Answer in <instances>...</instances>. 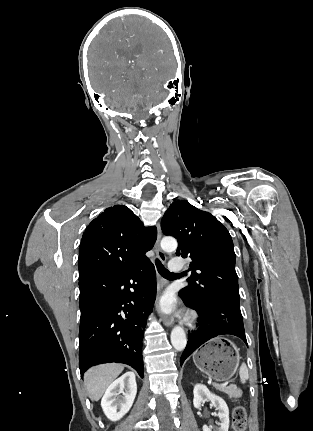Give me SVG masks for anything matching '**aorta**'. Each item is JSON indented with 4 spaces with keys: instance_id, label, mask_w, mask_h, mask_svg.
<instances>
[{
    "instance_id": "aorta-1",
    "label": "aorta",
    "mask_w": 313,
    "mask_h": 431,
    "mask_svg": "<svg viewBox=\"0 0 313 431\" xmlns=\"http://www.w3.org/2000/svg\"><path fill=\"white\" fill-rule=\"evenodd\" d=\"M161 248L165 252H173L177 249V241L172 237H165L161 240ZM171 343L177 351L185 349L187 338L182 327L176 326L171 332Z\"/></svg>"
}]
</instances>
